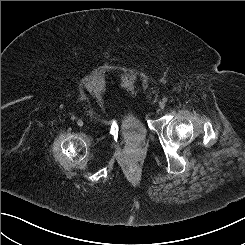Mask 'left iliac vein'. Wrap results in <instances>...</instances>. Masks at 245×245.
Here are the masks:
<instances>
[{
    "label": "left iliac vein",
    "mask_w": 245,
    "mask_h": 245,
    "mask_svg": "<svg viewBox=\"0 0 245 245\" xmlns=\"http://www.w3.org/2000/svg\"><path fill=\"white\" fill-rule=\"evenodd\" d=\"M159 107L163 109L165 107V103L163 101L159 102Z\"/></svg>",
    "instance_id": "1"
}]
</instances>
